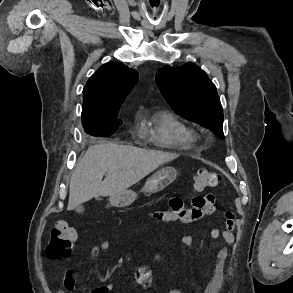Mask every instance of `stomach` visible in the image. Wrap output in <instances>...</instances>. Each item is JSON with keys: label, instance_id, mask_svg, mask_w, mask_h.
Here are the masks:
<instances>
[{"label": "stomach", "instance_id": "1", "mask_svg": "<svg viewBox=\"0 0 293 293\" xmlns=\"http://www.w3.org/2000/svg\"><path fill=\"white\" fill-rule=\"evenodd\" d=\"M177 172L172 167L163 168L154 173L145 183L142 191L148 194H153L164 190L176 178ZM137 194L131 190H126L110 196V203L114 207H126L134 202Z\"/></svg>", "mask_w": 293, "mask_h": 293}]
</instances>
